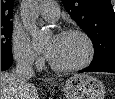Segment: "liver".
Masks as SVG:
<instances>
[{"instance_id": "obj_1", "label": "liver", "mask_w": 115, "mask_h": 99, "mask_svg": "<svg viewBox=\"0 0 115 99\" xmlns=\"http://www.w3.org/2000/svg\"><path fill=\"white\" fill-rule=\"evenodd\" d=\"M1 99H39L33 84H20L15 73L1 72Z\"/></svg>"}]
</instances>
